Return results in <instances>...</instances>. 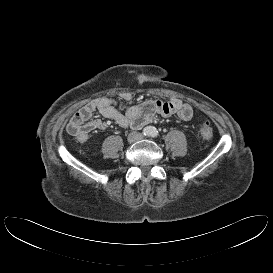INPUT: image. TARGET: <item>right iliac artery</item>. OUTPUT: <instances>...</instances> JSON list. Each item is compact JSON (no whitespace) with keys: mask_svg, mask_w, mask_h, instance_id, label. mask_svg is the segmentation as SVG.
<instances>
[{"mask_svg":"<svg viewBox=\"0 0 273 273\" xmlns=\"http://www.w3.org/2000/svg\"><path fill=\"white\" fill-rule=\"evenodd\" d=\"M143 134H144L145 136L149 135V134H150V129H149V128H145V129L143 130Z\"/></svg>","mask_w":273,"mask_h":273,"instance_id":"obj_1","label":"right iliac artery"}]
</instances>
